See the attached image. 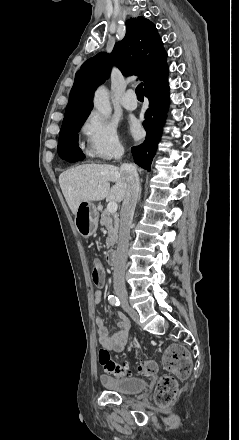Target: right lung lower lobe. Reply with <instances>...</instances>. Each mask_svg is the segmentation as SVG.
<instances>
[{
	"label": "right lung lower lobe",
	"mask_w": 239,
	"mask_h": 440,
	"mask_svg": "<svg viewBox=\"0 0 239 440\" xmlns=\"http://www.w3.org/2000/svg\"><path fill=\"white\" fill-rule=\"evenodd\" d=\"M144 86L145 96L149 99V109L146 111V119L143 123L147 135L145 141L138 146L132 147L131 151L135 163L145 169H150L157 149V143L160 141L162 126L168 109V67L148 80ZM59 156L69 162L84 159V155L78 146L59 153Z\"/></svg>",
	"instance_id": "obj_1"
}]
</instances>
